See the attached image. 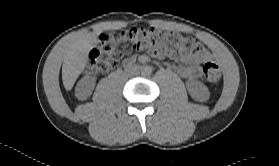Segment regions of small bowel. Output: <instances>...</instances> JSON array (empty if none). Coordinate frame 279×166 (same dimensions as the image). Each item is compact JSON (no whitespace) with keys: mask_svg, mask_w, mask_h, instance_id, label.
Segmentation results:
<instances>
[{"mask_svg":"<svg viewBox=\"0 0 279 166\" xmlns=\"http://www.w3.org/2000/svg\"><path fill=\"white\" fill-rule=\"evenodd\" d=\"M210 53L201 48L193 55L185 56L183 58V64L176 66V71L184 78H195L199 74V66L201 63L209 60Z\"/></svg>","mask_w":279,"mask_h":166,"instance_id":"obj_1","label":"small bowel"}]
</instances>
